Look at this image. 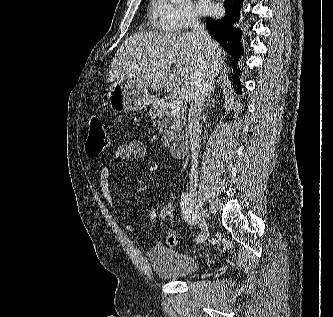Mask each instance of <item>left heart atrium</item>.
<instances>
[{"instance_id": "39dd6f15", "label": "left heart atrium", "mask_w": 333, "mask_h": 317, "mask_svg": "<svg viewBox=\"0 0 333 317\" xmlns=\"http://www.w3.org/2000/svg\"><path fill=\"white\" fill-rule=\"evenodd\" d=\"M197 10L200 14H210L213 12L214 8L209 0H198Z\"/></svg>"}]
</instances>
